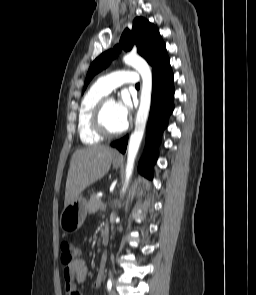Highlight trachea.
Segmentation results:
<instances>
[{
  "label": "trachea",
  "instance_id": "obj_1",
  "mask_svg": "<svg viewBox=\"0 0 256 295\" xmlns=\"http://www.w3.org/2000/svg\"><path fill=\"white\" fill-rule=\"evenodd\" d=\"M139 87H140V84H139V83H137V84H136V88H139Z\"/></svg>",
  "mask_w": 256,
  "mask_h": 295
}]
</instances>
